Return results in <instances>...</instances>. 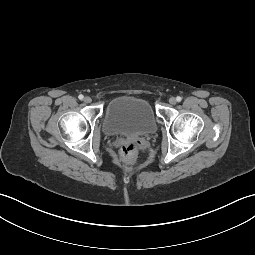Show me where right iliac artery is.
<instances>
[{
	"label": "right iliac artery",
	"instance_id": "82829eb1",
	"mask_svg": "<svg viewBox=\"0 0 255 255\" xmlns=\"http://www.w3.org/2000/svg\"><path fill=\"white\" fill-rule=\"evenodd\" d=\"M78 98H79L80 100H83V99H84V96L81 94V95L78 96Z\"/></svg>",
	"mask_w": 255,
	"mask_h": 255
}]
</instances>
